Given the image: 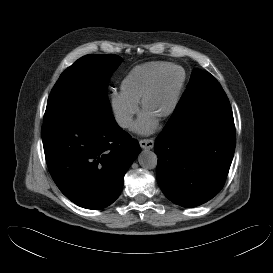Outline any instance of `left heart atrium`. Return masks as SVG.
Here are the masks:
<instances>
[{
  "label": "left heart atrium",
  "mask_w": 273,
  "mask_h": 273,
  "mask_svg": "<svg viewBox=\"0 0 273 273\" xmlns=\"http://www.w3.org/2000/svg\"><path fill=\"white\" fill-rule=\"evenodd\" d=\"M156 126V118L153 115L144 111L140 121L137 124V129L143 134H149L155 130Z\"/></svg>",
  "instance_id": "39dd6f15"
}]
</instances>
